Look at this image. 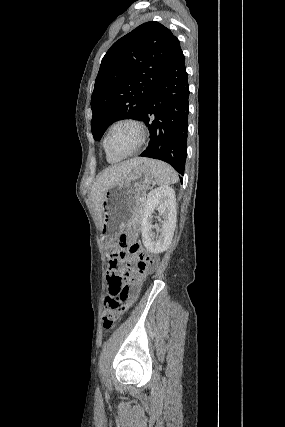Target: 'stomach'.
<instances>
[{
    "instance_id": "0dacf381",
    "label": "stomach",
    "mask_w": 285,
    "mask_h": 427,
    "mask_svg": "<svg viewBox=\"0 0 285 427\" xmlns=\"http://www.w3.org/2000/svg\"><path fill=\"white\" fill-rule=\"evenodd\" d=\"M154 175L143 164L132 169L121 182L109 188L102 202L101 239L108 243L137 217L140 194L153 182Z\"/></svg>"
}]
</instances>
